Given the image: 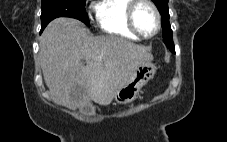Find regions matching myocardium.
<instances>
[{
  "instance_id": "f54148a6",
  "label": "myocardium",
  "mask_w": 227,
  "mask_h": 142,
  "mask_svg": "<svg viewBox=\"0 0 227 142\" xmlns=\"http://www.w3.org/2000/svg\"><path fill=\"white\" fill-rule=\"evenodd\" d=\"M147 5L149 6L153 12L155 13L156 17V29L152 34L146 35L143 34L137 27L136 21H135V14L139 6L141 5ZM126 20L129 29L138 37L143 38V39H150L156 36L160 29H161V14L158 9V7L151 1V0H132L131 3L128 5L127 10H126Z\"/></svg>"
}]
</instances>
